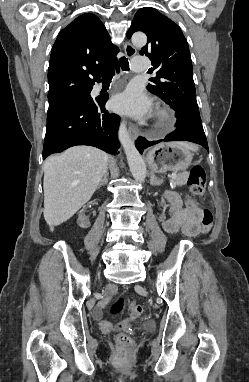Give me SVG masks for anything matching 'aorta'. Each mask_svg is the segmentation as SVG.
Returning a JSON list of instances; mask_svg holds the SVG:
<instances>
[{"label":"aorta","mask_w":249,"mask_h":382,"mask_svg":"<svg viewBox=\"0 0 249 382\" xmlns=\"http://www.w3.org/2000/svg\"><path fill=\"white\" fill-rule=\"evenodd\" d=\"M131 40L135 46L143 47L147 42V37L144 33H135ZM118 138L125 151L132 176L136 181L143 182L147 173L146 165L142 156L131 140L125 122H121L120 124Z\"/></svg>","instance_id":"aorta-1"}]
</instances>
